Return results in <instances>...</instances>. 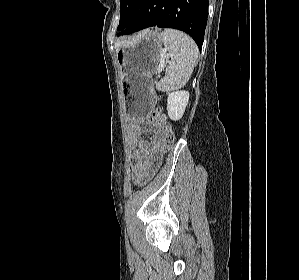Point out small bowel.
Segmentation results:
<instances>
[{"label": "small bowel", "instance_id": "obj_1", "mask_svg": "<svg viewBox=\"0 0 299 280\" xmlns=\"http://www.w3.org/2000/svg\"><path fill=\"white\" fill-rule=\"evenodd\" d=\"M143 132L153 134L150 141L139 137ZM130 141L133 150V178L137 183H142L149 179L160 166L165 147V133L159 125L150 121L132 120Z\"/></svg>", "mask_w": 299, "mask_h": 280}]
</instances>
